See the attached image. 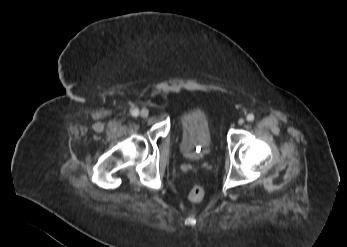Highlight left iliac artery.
<instances>
[{
  "label": "left iliac artery",
  "instance_id": "left-iliac-artery-1",
  "mask_svg": "<svg viewBox=\"0 0 347 247\" xmlns=\"http://www.w3.org/2000/svg\"><path fill=\"white\" fill-rule=\"evenodd\" d=\"M246 119H247V121L252 122L254 120V115L253 114H248Z\"/></svg>",
  "mask_w": 347,
  "mask_h": 247
}]
</instances>
